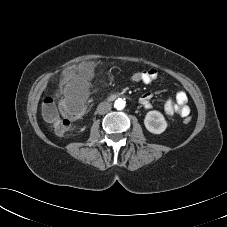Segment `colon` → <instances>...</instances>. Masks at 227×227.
I'll return each mask as SVG.
<instances>
[{
	"label": "colon",
	"instance_id": "1",
	"mask_svg": "<svg viewBox=\"0 0 227 227\" xmlns=\"http://www.w3.org/2000/svg\"><path fill=\"white\" fill-rule=\"evenodd\" d=\"M127 78L134 83H141L144 79V72L134 71L128 74ZM42 114L46 122H48L52 128L58 134L64 135L71 130L72 121L77 120L83 114V108L80 104L64 100L58 105L51 97L44 99L42 104ZM181 117L184 123L191 122L189 113L184 112Z\"/></svg>",
	"mask_w": 227,
	"mask_h": 227
}]
</instances>
